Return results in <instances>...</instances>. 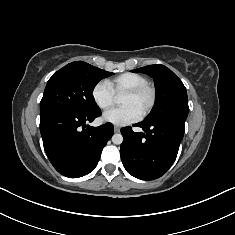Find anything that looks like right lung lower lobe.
<instances>
[{
  "label": "right lung lower lobe",
  "mask_w": 235,
  "mask_h": 235,
  "mask_svg": "<svg viewBox=\"0 0 235 235\" xmlns=\"http://www.w3.org/2000/svg\"><path fill=\"white\" fill-rule=\"evenodd\" d=\"M100 115V109L86 114L56 109L40 112L44 149L60 174L77 178L97 166L103 147L113 135L110 123L99 127L86 125Z\"/></svg>",
  "instance_id": "right-lung-lower-lobe-1"
}]
</instances>
